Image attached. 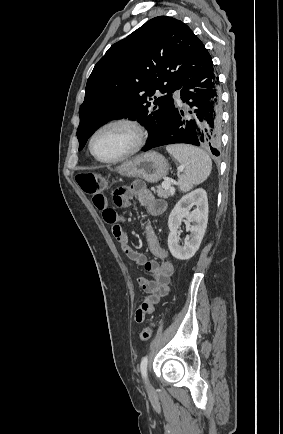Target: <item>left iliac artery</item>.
<instances>
[{
  "label": "left iliac artery",
  "instance_id": "obj_1",
  "mask_svg": "<svg viewBox=\"0 0 283 434\" xmlns=\"http://www.w3.org/2000/svg\"><path fill=\"white\" fill-rule=\"evenodd\" d=\"M147 365H148V357L145 356L142 358L141 360V364H140V370H141V374L143 376V378H147Z\"/></svg>",
  "mask_w": 283,
  "mask_h": 434
}]
</instances>
